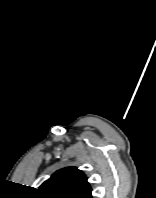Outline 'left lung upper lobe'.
I'll return each instance as SVG.
<instances>
[{"instance_id": "5c2ea615", "label": "left lung upper lobe", "mask_w": 156, "mask_h": 198, "mask_svg": "<svg viewBox=\"0 0 156 198\" xmlns=\"http://www.w3.org/2000/svg\"><path fill=\"white\" fill-rule=\"evenodd\" d=\"M42 198H92L84 173L76 167L55 172L38 189Z\"/></svg>"}]
</instances>
